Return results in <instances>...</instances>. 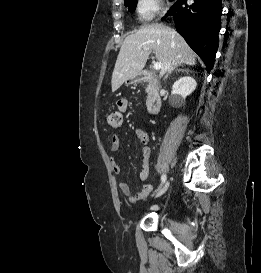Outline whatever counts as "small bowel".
<instances>
[{"mask_svg": "<svg viewBox=\"0 0 261 273\" xmlns=\"http://www.w3.org/2000/svg\"><path fill=\"white\" fill-rule=\"evenodd\" d=\"M128 103L126 100H119L117 102V111L123 113L127 110ZM149 131L138 129L136 130V137L138 139L139 144L142 146V156H141V169L139 173V178L142 181H145L149 176L150 171V156L151 151L150 148L147 146L149 141ZM120 149V138L118 135H114L111 139V150L113 152H117ZM112 171L114 174H119L121 172V166L115 158H111L110 160ZM118 187L120 191L128 197V200L131 203H137L144 200L147 195L152 190V185L144 184L140 191L132 195L130 187L127 183L120 181L118 183Z\"/></svg>", "mask_w": 261, "mask_h": 273, "instance_id": "small-bowel-1", "label": "small bowel"}]
</instances>
